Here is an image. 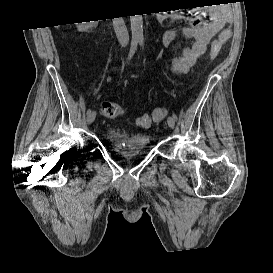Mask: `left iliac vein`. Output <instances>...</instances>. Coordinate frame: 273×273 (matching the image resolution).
<instances>
[{
  "mask_svg": "<svg viewBox=\"0 0 273 273\" xmlns=\"http://www.w3.org/2000/svg\"><path fill=\"white\" fill-rule=\"evenodd\" d=\"M167 123H168V125H169L170 128H174V126H175V120H174L173 117H168Z\"/></svg>",
  "mask_w": 273,
  "mask_h": 273,
  "instance_id": "1",
  "label": "left iliac vein"
}]
</instances>
